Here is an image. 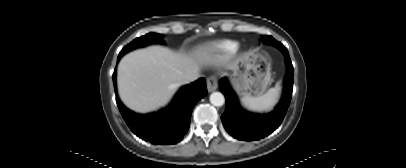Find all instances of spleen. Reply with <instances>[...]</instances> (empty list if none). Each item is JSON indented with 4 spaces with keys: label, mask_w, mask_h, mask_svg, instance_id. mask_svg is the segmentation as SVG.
Listing matches in <instances>:
<instances>
[{
    "label": "spleen",
    "mask_w": 406,
    "mask_h": 168,
    "mask_svg": "<svg viewBox=\"0 0 406 168\" xmlns=\"http://www.w3.org/2000/svg\"><path fill=\"white\" fill-rule=\"evenodd\" d=\"M280 86L277 84L265 94L257 97L246 96L241 99L242 104L249 110L262 112L273 108L279 98Z\"/></svg>",
    "instance_id": "3e777b00"
}]
</instances>
